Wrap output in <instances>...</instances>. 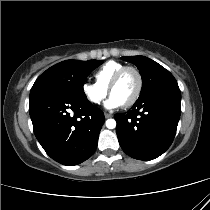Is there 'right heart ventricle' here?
<instances>
[{
    "mask_svg": "<svg viewBox=\"0 0 210 210\" xmlns=\"http://www.w3.org/2000/svg\"><path fill=\"white\" fill-rule=\"evenodd\" d=\"M124 66V64L117 61L106 62L94 73L96 84L108 89L114 75Z\"/></svg>",
    "mask_w": 210,
    "mask_h": 210,
    "instance_id": "right-heart-ventricle-1",
    "label": "right heart ventricle"
}]
</instances>
